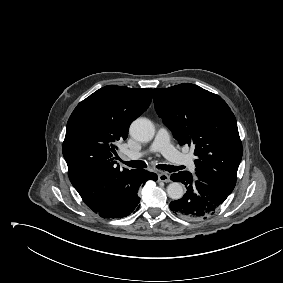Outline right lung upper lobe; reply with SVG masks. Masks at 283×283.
<instances>
[{"mask_svg": "<svg viewBox=\"0 0 283 283\" xmlns=\"http://www.w3.org/2000/svg\"><path fill=\"white\" fill-rule=\"evenodd\" d=\"M152 89L105 86L72 112L63 142L68 176L94 212L130 193L136 170H120L116 144L125 140L131 122L150 105Z\"/></svg>", "mask_w": 283, "mask_h": 283, "instance_id": "cb5924a9", "label": "right lung upper lobe"}]
</instances>
